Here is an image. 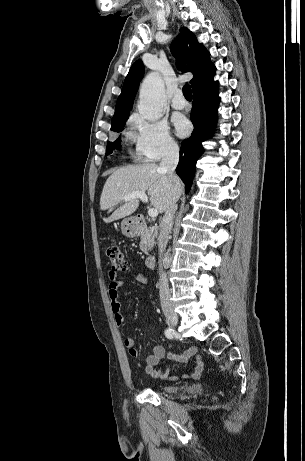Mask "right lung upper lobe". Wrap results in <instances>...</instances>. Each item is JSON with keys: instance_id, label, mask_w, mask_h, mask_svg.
I'll list each match as a JSON object with an SVG mask.
<instances>
[{"instance_id": "cb5924a9", "label": "right lung upper lobe", "mask_w": 305, "mask_h": 461, "mask_svg": "<svg viewBox=\"0 0 305 461\" xmlns=\"http://www.w3.org/2000/svg\"><path fill=\"white\" fill-rule=\"evenodd\" d=\"M171 52L177 59V66L182 72H192L190 81L192 89L215 74V66L211 64L209 52L200 44L196 36L182 27L180 34L171 44ZM144 74L141 60L136 61L125 78L121 94L116 103V111L111 124L128 119L138 85Z\"/></svg>"}]
</instances>
